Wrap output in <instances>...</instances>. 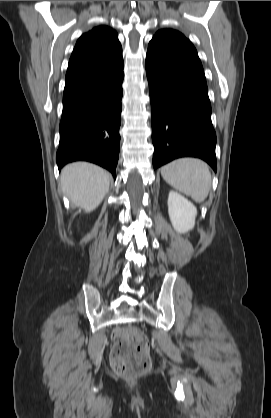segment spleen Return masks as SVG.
Instances as JSON below:
<instances>
[{
    "label": "spleen",
    "mask_w": 271,
    "mask_h": 418,
    "mask_svg": "<svg viewBox=\"0 0 271 418\" xmlns=\"http://www.w3.org/2000/svg\"><path fill=\"white\" fill-rule=\"evenodd\" d=\"M163 179L177 191L203 202L211 189L209 166L197 158H180L161 168Z\"/></svg>",
    "instance_id": "1"
}]
</instances>
